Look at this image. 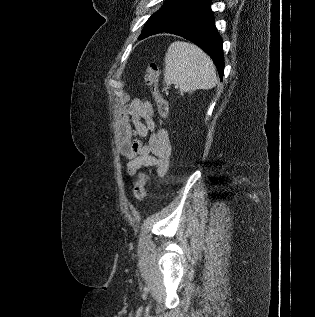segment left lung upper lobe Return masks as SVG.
<instances>
[{
  "label": "left lung upper lobe",
  "mask_w": 315,
  "mask_h": 317,
  "mask_svg": "<svg viewBox=\"0 0 315 317\" xmlns=\"http://www.w3.org/2000/svg\"><path fill=\"white\" fill-rule=\"evenodd\" d=\"M199 1L200 0H166L165 4L148 19L139 37L144 39L148 36L165 32Z\"/></svg>",
  "instance_id": "5c2ea615"
}]
</instances>
